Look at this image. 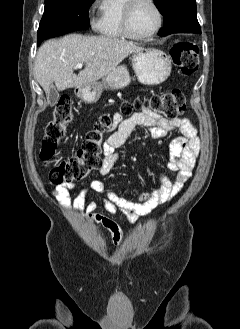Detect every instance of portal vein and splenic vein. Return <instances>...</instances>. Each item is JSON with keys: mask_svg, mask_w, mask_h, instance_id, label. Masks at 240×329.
<instances>
[{"mask_svg": "<svg viewBox=\"0 0 240 329\" xmlns=\"http://www.w3.org/2000/svg\"><path fill=\"white\" fill-rule=\"evenodd\" d=\"M82 67H83V64H82V63H78V64L75 66L76 69H81Z\"/></svg>", "mask_w": 240, "mask_h": 329, "instance_id": "18ae733b", "label": "portal vein and splenic vein"}]
</instances>
